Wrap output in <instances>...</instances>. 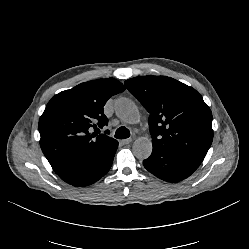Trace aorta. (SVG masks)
I'll return each mask as SVG.
<instances>
[{
  "label": "aorta",
  "instance_id": "obj_1",
  "mask_svg": "<svg viewBox=\"0 0 249 249\" xmlns=\"http://www.w3.org/2000/svg\"><path fill=\"white\" fill-rule=\"evenodd\" d=\"M115 112L123 122L128 124H135L140 119L136 104L129 98H118L115 102ZM152 149V141L148 137H139L133 143V153L139 160L149 158Z\"/></svg>",
  "mask_w": 249,
  "mask_h": 249
}]
</instances>
